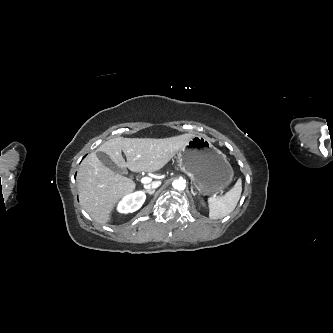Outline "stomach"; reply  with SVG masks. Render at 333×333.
<instances>
[{
  "label": "stomach",
  "instance_id": "stomach-1",
  "mask_svg": "<svg viewBox=\"0 0 333 333\" xmlns=\"http://www.w3.org/2000/svg\"><path fill=\"white\" fill-rule=\"evenodd\" d=\"M180 169L202 195H217L232 181L234 171L225 154L205 136L192 137L178 153Z\"/></svg>",
  "mask_w": 333,
  "mask_h": 333
}]
</instances>
